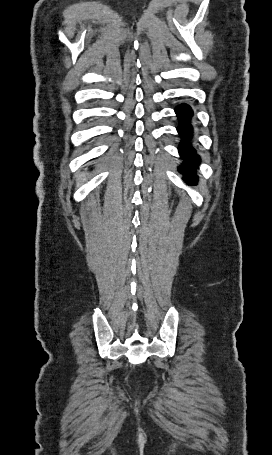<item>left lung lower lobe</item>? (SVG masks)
Returning <instances> with one entry per match:
<instances>
[{"instance_id":"obj_1","label":"left lung lower lobe","mask_w":272,"mask_h":455,"mask_svg":"<svg viewBox=\"0 0 272 455\" xmlns=\"http://www.w3.org/2000/svg\"><path fill=\"white\" fill-rule=\"evenodd\" d=\"M175 112L181 121L177 130L179 134L186 139V141L179 147V153L181 157L185 159V163L179 168V171L185 174L184 179L190 182L197 180L194 167L200 161L199 157L196 155L195 149L188 143L193 133V129L190 124L193 111L190 106L181 104L176 107Z\"/></svg>"}]
</instances>
